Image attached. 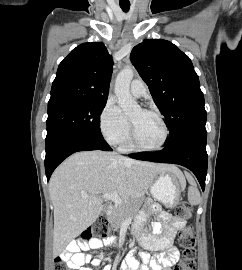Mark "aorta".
<instances>
[{
  "label": "aorta",
  "mask_w": 242,
  "mask_h": 270,
  "mask_svg": "<svg viewBox=\"0 0 242 270\" xmlns=\"http://www.w3.org/2000/svg\"><path fill=\"white\" fill-rule=\"evenodd\" d=\"M133 75V66L128 65L120 71L115 82V95L122 111L126 115H131L140 110V106L130 94V83L133 79Z\"/></svg>",
  "instance_id": "762f6f07"
}]
</instances>
